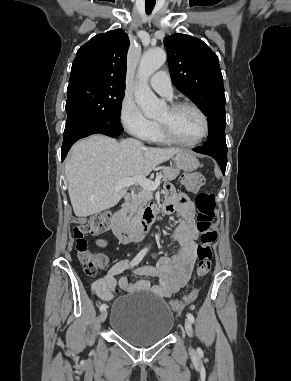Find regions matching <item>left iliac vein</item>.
Returning a JSON list of instances; mask_svg holds the SVG:
<instances>
[{
	"label": "left iliac vein",
	"instance_id": "1",
	"mask_svg": "<svg viewBox=\"0 0 291 381\" xmlns=\"http://www.w3.org/2000/svg\"><path fill=\"white\" fill-rule=\"evenodd\" d=\"M184 325H185V330H186L187 334L189 336H192L193 329H192L191 322L188 319H186Z\"/></svg>",
	"mask_w": 291,
	"mask_h": 381
}]
</instances>
